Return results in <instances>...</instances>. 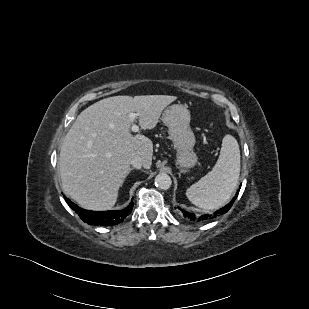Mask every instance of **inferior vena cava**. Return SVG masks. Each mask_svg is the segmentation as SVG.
Masks as SVG:
<instances>
[{"mask_svg":"<svg viewBox=\"0 0 309 309\" xmlns=\"http://www.w3.org/2000/svg\"><path fill=\"white\" fill-rule=\"evenodd\" d=\"M130 164L134 168L140 169L141 167H143V159L139 155L133 156L130 159Z\"/></svg>","mask_w":309,"mask_h":309,"instance_id":"obj_1","label":"inferior vena cava"}]
</instances>
